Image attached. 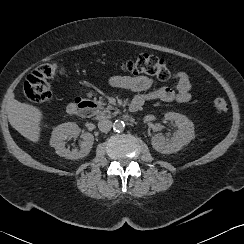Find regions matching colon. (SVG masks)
Instances as JSON below:
<instances>
[{
  "label": "colon",
  "mask_w": 244,
  "mask_h": 244,
  "mask_svg": "<svg viewBox=\"0 0 244 244\" xmlns=\"http://www.w3.org/2000/svg\"><path fill=\"white\" fill-rule=\"evenodd\" d=\"M124 70L131 73H144L154 76L159 80H175L177 74L170 65L162 58L153 55H143L135 60L126 61L121 64ZM58 72V67L53 63H45L32 70L26 77L23 86L25 96L34 102H43L50 98V81ZM215 109L219 113L227 111V101L218 97L214 101Z\"/></svg>",
  "instance_id": "5ec220e1"
}]
</instances>
